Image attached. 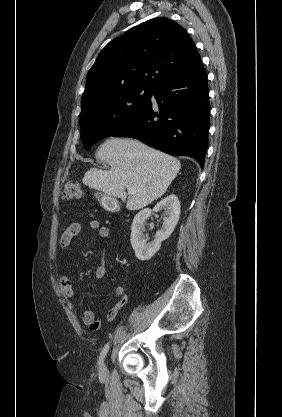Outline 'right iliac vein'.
I'll return each instance as SVG.
<instances>
[{"mask_svg": "<svg viewBox=\"0 0 282 417\" xmlns=\"http://www.w3.org/2000/svg\"><path fill=\"white\" fill-rule=\"evenodd\" d=\"M105 372H106V366H105V364H103L100 368V373L104 374Z\"/></svg>", "mask_w": 282, "mask_h": 417, "instance_id": "obj_1", "label": "right iliac vein"}]
</instances>
